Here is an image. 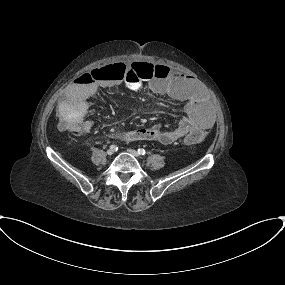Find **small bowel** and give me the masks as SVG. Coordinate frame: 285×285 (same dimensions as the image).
Here are the masks:
<instances>
[{
	"label": "small bowel",
	"instance_id": "c3829d8e",
	"mask_svg": "<svg viewBox=\"0 0 285 285\" xmlns=\"http://www.w3.org/2000/svg\"><path fill=\"white\" fill-rule=\"evenodd\" d=\"M122 66L120 71L90 84L73 81L67 89V96L58 103L59 118H80L79 132L81 134L91 132L94 123L85 120L84 117L89 110L88 100L99 87L114 88L125 82L133 91L142 88L139 78L128 67ZM148 87L154 93L167 94L171 99L181 102L185 116L172 129H164L158 125L152 128L122 131L116 133L113 139L120 142L157 141L168 145L182 139L193 130L205 132L212 126V114L207 99L192 77L178 74L168 80H153Z\"/></svg>",
	"mask_w": 285,
	"mask_h": 285
}]
</instances>
